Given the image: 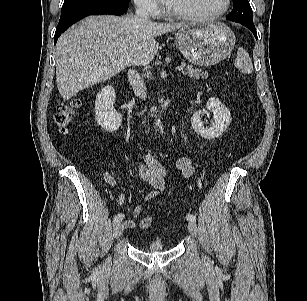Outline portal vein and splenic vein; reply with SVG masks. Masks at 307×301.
Masks as SVG:
<instances>
[{
  "instance_id": "obj_1",
  "label": "portal vein and splenic vein",
  "mask_w": 307,
  "mask_h": 301,
  "mask_svg": "<svg viewBox=\"0 0 307 301\" xmlns=\"http://www.w3.org/2000/svg\"><path fill=\"white\" fill-rule=\"evenodd\" d=\"M112 62H116V61L113 60ZM176 69H177L178 71H182V70H183V65L177 66Z\"/></svg>"
}]
</instances>
